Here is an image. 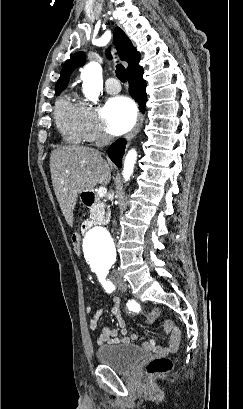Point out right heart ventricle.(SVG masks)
<instances>
[{"instance_id": "e07e8e85", "label": "right heart ventricle", "mask_w": 243, "mask_h": 409, "mask_svg": "<svg viewBox=\"0 0 243 409\" xmlns=\"http://www.w3.org/2000/svg\"><path fill=\"white\" fill-rule=\"evenodd\" d=\"M76 108L77 104L67 95L61 97L55 105L56 126L64 139L71 143L81 141L76 123Z\"/></svg>"}]
</instances>
